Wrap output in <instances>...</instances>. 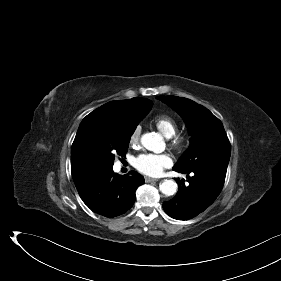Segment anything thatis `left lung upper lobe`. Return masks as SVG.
Wrapping results in <instances>:
<instances>
[{"label": "left lung upper lobe", "instance_id": "obj_1", "mask_svg": "<svg viewBox=\"0 0 281 281\" xmlns=\"http://www.w3.org/2000/svg\"><path fill=\"white\" fill-rule=\"evenodd\" d=\"M157 99L181 115L191 134L190 147L174 168L192 170L206 165L228 166L231 146L218 118L205 107L187 98L159 96Z\"/></svg>", "mask_w": 281, "mask_h": 281}]
</instances>
